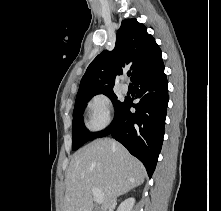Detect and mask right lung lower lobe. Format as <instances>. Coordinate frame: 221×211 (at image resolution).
Instances as JSON below:
<instances>
[{
  "instance_id": "1",
  "label": "right lung lower lobe",
  "mask_w": 221,
  "mask_h": 211,
  "mask_svg": "<svg viewBox=\"0 0 221 211\" xmlns=\"http://www.w3.org/2000/svg\"><path fill=\"white\" fill-rule=\"evenodd\" d=\"M133 84L140 102L132 104L125 99L112 123L97 137L111 135L144 164L151 177L163 143L168 105L164 65L139 75ZM131 107L136 109L135 113L130 112Z\"/></svg>"
}]
</instances>
